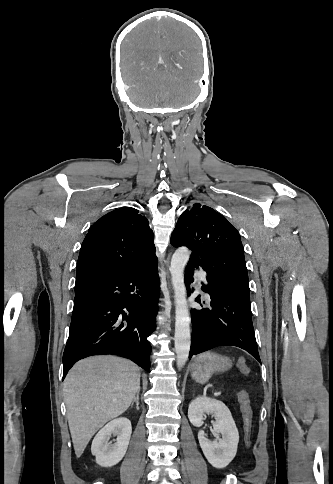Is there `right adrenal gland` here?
Segmentation results:
<instances>
[{
  "label": "right adrenal gland",
  "instance_id": "1",
  "mask_svg": "<svg viewBox=\"0 0 333 484\" xmlns=\"http://www.w3.org/2000/svg\"><path fill=\"white\" fill-rule=\"evenodd\" d=\"M139 392H140V391H138V392H137L136 397H134V399H133V401H132V405H131V406H133V404H134V402H135V403H136V409H137V410H139Z\"/></svg>",
  "mask_w": 333,
  "mask_h": 484
}]
</instances>
